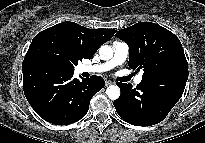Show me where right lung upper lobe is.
<instances>
[{
    "instance_id": "right-lung-upper-lobe-1",
    "label": "right lung upper lobe",
    "mask_w": 205,
    "mask_h": 143,
    "mask_svg": "<svg viewBox=\"0 0 205 143\" xmlns=\"http://www.w3.org/2000/svg\"><path fill=\"white\" fill-rule=\"evenodd\" d=\"M46 30H55L66 35L79 48L84 59H91L98 48L112 38L116 30L88 29L75 22L65 21Z\"/></svg>"
}]
</instances>
